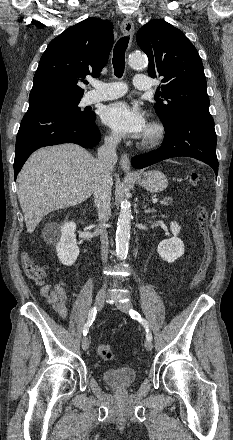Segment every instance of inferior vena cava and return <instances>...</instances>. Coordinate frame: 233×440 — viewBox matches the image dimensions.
I'll return each mask as SVG.
<instances>
[{"mask_svg": "<svg viewBox=\"0 0 233 440\" xmlns=\"http://www.w3.org/2000/svg\"><path fill=\"white\" fill-rule=\"evenodd\" d=\"M120 138L116 135L105 137L104 144L98 149L97 178L94 184V202L98 210V219L102 226L97 229L101 235V259L108 258V235L104 224L111 216L112 171L117 162L116 147Z\"/></svg>", "mask_w": 233, "mask_h": 440, "instance_id": "1", "label": "inferior vena cava"}]
</instances>
